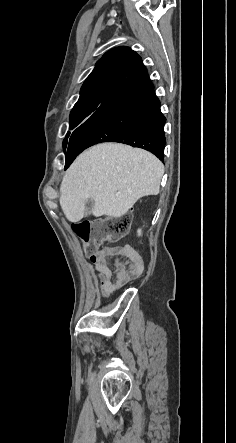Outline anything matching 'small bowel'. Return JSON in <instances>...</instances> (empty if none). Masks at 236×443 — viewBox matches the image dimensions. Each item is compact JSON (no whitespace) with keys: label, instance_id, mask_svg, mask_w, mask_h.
Returning a JSON list of instances; mask_svg holds the SVG:
<instances>
[{"label":"small bowel","instance_id":"1","mask_svg":"<svg viewBox=\"0 0 236 443\" xmlns=\"http://www.w3.org/2000/svg\"><path fill=\"white\" fill-rule=\"evenodd\" d=\"M99 274V283L105 295L123 289L140 276L144 269L141 255L127 245L103 247L93 260Z\"/></svg>","mask_w":236,"mask_h":443}]
</instances>
